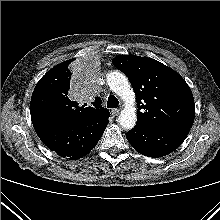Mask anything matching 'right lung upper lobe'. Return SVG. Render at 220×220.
<instances>
[{"mask_svg": "<svg viewBox=\"0 0 220 220\" xmlns=\"http://www.w3.org/2000/svg\"><path fill=\"white\" fill-rule=\"evenodd\" d=\"M74 59L64 61L50 69L37 83L32 93L30 114L33 125L43 122L73 124L94 114L107 112L96 98L94 107H80L69 98L71 70Z\"/></svg>", "mask_w": 220, "mask_h": 220, "instance_id": "obj_1", "label": "right lung upper lobe"}]
</instances>
